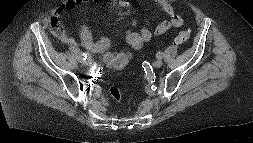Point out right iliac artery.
Listing matches in <instances>:
<instances>
[{"label": "right iliac artery", "mask_w": 253, "mask_h": 143, "mask_svg": "<svg viewBox=\"0 0 253 143\" xmlns=\"http://www.w3.org/2000/svg\"><path fill=\"white\" fill-rule=\"evenodd\" d=\"M87 57H88V54L83 52V53L80 54L78 59H79L80 62L83 61V60L86 61Z\"/></svg>", "instance_id": "1"}]
</instances>
